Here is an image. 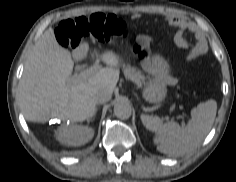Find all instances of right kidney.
Instances as JSON below:
<instances>
[{"mask_svg": "<svg viewBox=\"0 0 236 182\" xmlns=\"http://www.w3.org/2000/svg\"><path fill=\"white\" fill-rule=\"evenodd\" d=\"M93 136V129L82 125L61 126L57 130L58 141L68 146L84 145L89 142Z\"/></svg>", "mask_w": 236, "mask_h": 182, "instance_id": "obj_1", "label": "right kidney"}]
</instances>
